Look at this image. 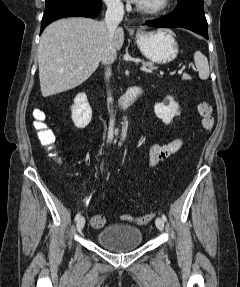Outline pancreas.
Instances as JSON below:
<instances>
[{
  "label": "pancreas",
  "instance_id": "obj_1",
  "mask_svg": "<svg viewBox=\"0 0 240 287\" xmlns=\"http://www.w3.org/2000/svg\"><path fill=\"white\" fill-rule=\"evenodd\" d=\"M142 65L145 66V67H148L150 69H156V67L154 66V63L153 62H150V61H143L142 62ZM182 79L183 80H190L191 77L187 74V73H184L183 76H182Z\"/></svg>",
  "mask_w": 240,
  "mask_h": 287
}]
</instances>
